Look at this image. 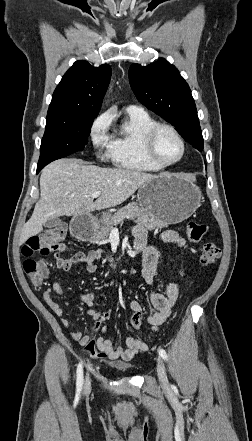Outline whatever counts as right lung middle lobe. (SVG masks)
I'll list each match as a JSON object with an SVG mask.
<instances>
[{
	"label": "right lung middle lobe",
	"instance_id": "dd1d6c3e",
	"mask_svg": "<svg viewBox=\"0 0 252 441\" xmlns=\"http://www.w3.org/2000/svg\"><path fill=\"white\" fill-rule=\"evenodd\" d=\"M96 115L52 112L47 114L38 166L83 150Z\"/></svg>",
	"mask_w": 252,
	"mask_h": 441
}]
</instances>
